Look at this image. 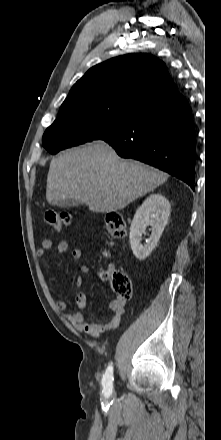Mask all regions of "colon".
Here are the masks:
<instances>
[{"instance_id": "colon-1", "label": "colon", "mask_w": 221, "mask_h": 440, "mask_svg": "<svg viewBox=\"0 0 221 440\" xmlns=\"http://www.w3.org/2000/svg\"><path fill=\"white\" fill-rule=\"evenodd\" d=\"M43 220L56 231H61L69 226L71 216L68 212L47 210L43 215ZM105 223L106 229L112 238H122L126 234V223L120 213L109 212L106 215ZM102 276L110 281L112 289L118 298L127 300L132 297V281L126 273L118 270H105Z\"/></svg>"}]
</instances>
